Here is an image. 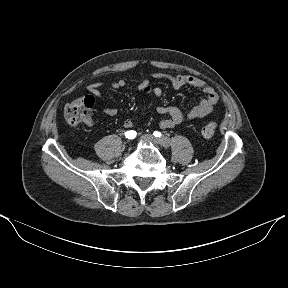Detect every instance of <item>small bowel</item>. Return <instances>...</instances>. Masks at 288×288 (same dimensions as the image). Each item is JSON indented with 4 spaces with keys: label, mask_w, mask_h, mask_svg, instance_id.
Wrapping results in <instances>:
<instances>
[{
    "label": "small bowel",
    "mask_w": 288,
    "mask_h": 288,
    "mask_svg": "<svg viewBox=\"0 0 288 288\" xmlns=\"http://www.w3.org/2000/svg\"><path fill=\"white\" fill-rule=\"evenodd\" d=\"M153 77L169 81L176 89L189 85L201 90L205 94V97L187 113L174 106L158 107L157 113L161 116L160 127L163 129L175 127L176 125H179L185 121L201 119L207 116L218 102V94L214 88L198 77L192 75H168L161 73H154ZM101 85V82L92 83L88 86V91L97 97H101ZM126 85L127 81L124 79H119L111 83V87L114 89H118ZM138 90L143 95H153L155 97H160L163 93L160 87L154 86L148 81L141 82L138 85ZM103 111L107 115L113 116L116 114L117 109L115 107L106 105L103 106ZM87 124L91 125L92 122L90 121ZM123 125L126 129H132L135 127V122L133 119H127L124 121Z\"/></svg>",
    "instance_id": "c3829d8e"
}]
</instances>
